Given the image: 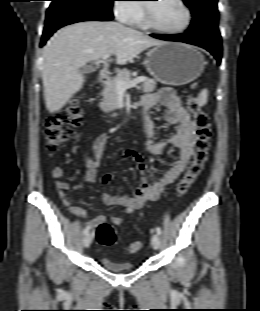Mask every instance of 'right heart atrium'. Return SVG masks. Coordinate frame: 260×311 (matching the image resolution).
Returning a JSON list of instances; mask_svg holds the SVG:
<instances>
[{
	"mask_svg": "<svg viewBox=\"0 0 260 311\" xmlns=\"http://www.w3.org/2000/svg\"><path fill=\"white\" fill-rule=\"evenodd\" d=\"M115 16L123 23H132L139 12V6L127 3L124 0H116L113 6Z\"/></svg>",
	"mask_w": 260,
	"mask_h": 311,
	"instance_id": "d8ad5b80",
	"label": "right heart atrium"
}]
</instances>
